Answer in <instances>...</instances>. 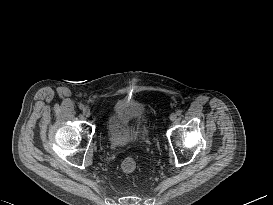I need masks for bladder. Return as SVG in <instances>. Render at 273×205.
<instances>
[{"label":"bladder","instance_id":"1","mask_svg":"<svg viewBox=\"0 0 273 205\" xmlns=\"http://www.w3.org/2000/svg\"><path fill=\"white\" fill-rule=\"evenodd\" d=\"M148 118L142 103L135 99L117 101L106 122L107 140L113 147L125 148L146 136Z\"/></svg>","mask_w":273,"mask_h":205}]
</instances>
